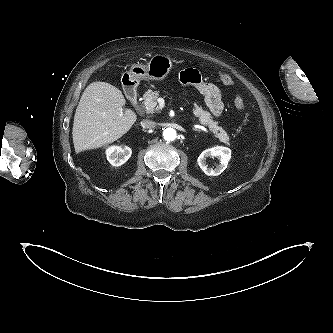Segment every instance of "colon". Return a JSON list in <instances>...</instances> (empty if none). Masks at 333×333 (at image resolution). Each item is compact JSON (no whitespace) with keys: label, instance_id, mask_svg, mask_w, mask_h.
<instances>
[{"label":"colon","instance_id":"5ec220e1","mask_svg":"<svg viewBox=\"0 0 333 333\" xmlns=\"http://www.w3.org/2000/svg\"><path fill=\"white\" fill-rule=\"evenodd\" d=\"M219 78H220L221 82L227 86H232L234 84L233 78L226 73H221L219 75ZM233 101H234V105L237 109H239V110L245 109V104H244L241 96L236 94L233 98Z\"/></svg>","mask_w":333,"mask_h":333}]
</instances>
